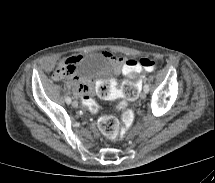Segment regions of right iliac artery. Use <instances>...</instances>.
Segmentation results:
<instances>
[{
  "mask_svg": "<svg viewBox=\"0 0 215 183\" xmlns=\"http://www.w3.org/2000/svg\"><path fill=\"white\" fill-rule=\"evenodd\" d=\"M65 101H66L67 104H70L71 103V98L67 97Z\"/></svg>",
  "mask_w": 215,
  "mask_h": 183,
  "instance_id": "obj_1",
  "label": "right iliac artery"
}]
</instances>
